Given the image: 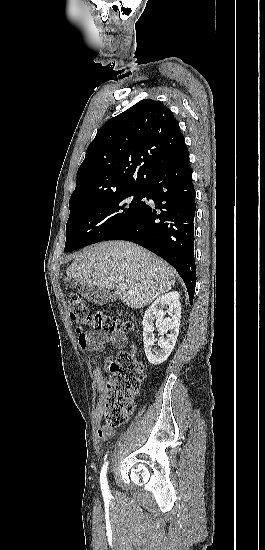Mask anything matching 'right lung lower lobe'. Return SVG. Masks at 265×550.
Returning a JSON list of instances; mask_svg holds the SVG:
<instances>
[{
    "label": "right lung lower lobe",
    "mask_w": 265,
    "mask_h": 550,
    "mask_svg": "<svg viewBox=\"0 0 265 550\" xmlns=\"http://www.w3.org/2000/svg\"><path fill=\"white\" fill-rule=\"evenodd\" d=\"M194 197L186 149L147 188V198L152 199L155 206L147 204L135 219L104 239L131 241L162 257L183 279L191 304L196 283Z\"/></svg>",
    "instance_id": "1"
}]
</instances>
